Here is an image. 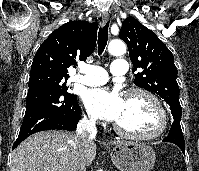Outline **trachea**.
I'll return each mask as SVG.
<instances>
[{"mask_svg": "<svg viewBox=\"0 0 199 171\" xmlns=\"http://www.w3.org/2000/svg\"><path fill=\"white\" fill-rule=\"evenodd\" d=\"M108 27H109V22H107L102 28L99 29L98 33V54L101 55L105 47L107 45L108 41Z\"/></svg>", "mask_w": 199, "mask_h": 171, "instance_id": "obj_1", "label": "trachea"}]
</instances>
